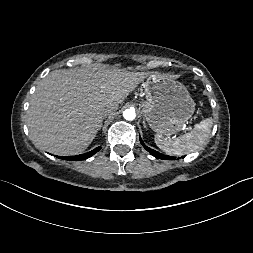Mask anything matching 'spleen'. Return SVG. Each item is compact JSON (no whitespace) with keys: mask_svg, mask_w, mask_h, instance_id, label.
I'll use <instances>...</instances> for the list:
<instances>
[{"mask_svg":"<svg viewBox=\"0 0 253 253\" xmlns=\"http://www.w3.org/2000/svg\"><path fill=\"white\" fill-rule=\"evenodd\" d=\"M213 120H202L194 129L179 137L155 135L156 145L168 155L182 156L200 148L209 138Z\"/></svg>","mask_w":253,"mask_h":253,"instance_id":"1","label":"spleen"}]
</instances>
